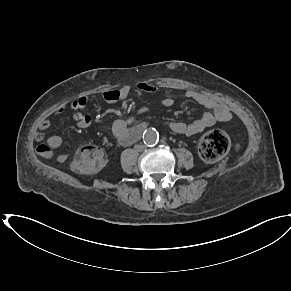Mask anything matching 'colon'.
Returning a JSON list of instances; mask_svg holds the SVG:
<instances>
[{"instance_id": "colon-1", "label": "colon", "mask_w": 291, "mask_h": 291, "mask_svg": "<svg viewBox=\"0 0 291 291\" xmlns=\"http://www.w3.org/2000/svg\"><path fill=\"white\" fill-rule=\"evenodd\" d=\"M230 146L228 135L221 130L208 132L201 140L199 152L208 162L219 160L225 155ZM46 152L45 147L39 148ZM105 162L103 151L94 145L81 147L71 162V169L77 173L88 174L98 170Z\"/></svg>"}]
</instances>
